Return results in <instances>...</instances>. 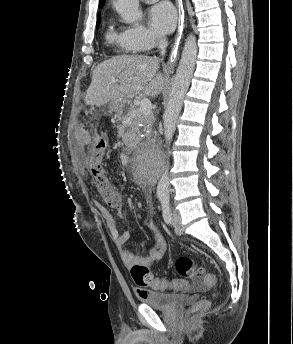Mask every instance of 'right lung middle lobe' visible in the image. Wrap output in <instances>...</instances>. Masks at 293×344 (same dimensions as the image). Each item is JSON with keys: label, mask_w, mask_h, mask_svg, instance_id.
Segmentation results:
<instances>
[{"label": "right lung middle lobe", "mask_w": 293, "mask_h": 344, "mask_svg": "<svg viewBox=\"0 0 293 344\" xmlns=\"http://www.w3.org/2000/svg\"><path fill=\"white\" fill-rule=\"evenodd\" d=\"M100 8L103 7L102 5L99 6ZM99 22H100V18L97 20V26L99 25Z\"/></svg>", "instance_id": "right-lung-middle-lobe-1"}]
</instances>
